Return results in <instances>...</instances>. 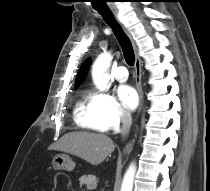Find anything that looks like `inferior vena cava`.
I'll return each instance as SVG.
<instances>
[{"label": "inferior vena cava", "mask_w": 210, "mask_h": 191, "mask_svg": "<svg viewBox=\"0 0 210 191\" xmlns=\"http://www.w3.org/2000/svg\"><path fill=\"white\" fill-rule=\"evenodd\" d=\"M121 122H122L121 133L125 137L129 133V130L132 124V117H131L130 112H124L121 115Z\"/></svg>", "instance_id": "1"}]
</instances>
